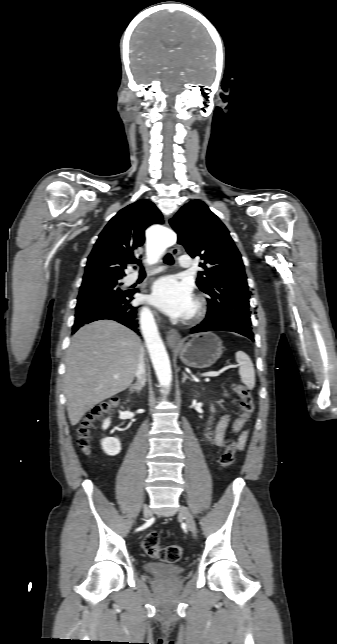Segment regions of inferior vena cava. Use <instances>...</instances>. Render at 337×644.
Segmentation results:
<instances>
[{"mask_svg":"<svg viewBox=\"0 0 337 644\" xmlns=\"http://www.w3.org/2000/svg\"><path fill=\"white\" fill-rule=\"evenodd\" d=\"M135 376L138 379L139 383H142L143 385L146 382V366H145V361H144V352H141L138 360V366L136 370Z\"/></svg>","mask_w":337,"mask_h":644,"instance_id":"inferior-vena-cava-1","label":"inferior vena cava"}]
</instances>
